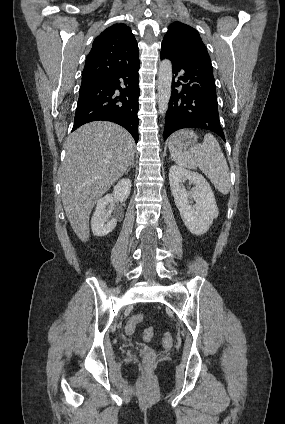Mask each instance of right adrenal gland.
<instances>
[{
    "label": "right adrenal gland",
    "mask_w": 285,
    "mask_h": 424,
    "mask_svg": "<svg viewBox=\"0 0 285 424\" xmlns=\"http://www.w3.org/2000/svg\"><path fill=\"white\" fill-rule=\"evenodd\" d=\"M134 166H135V164H134V158H133L131 164L129 165V167L127 168V170H126L125 173L128 174V172L130 171L131 167H134Z\"/></svg>",
    "instance_id": "2a0ac1e0"
}]
</instances>
